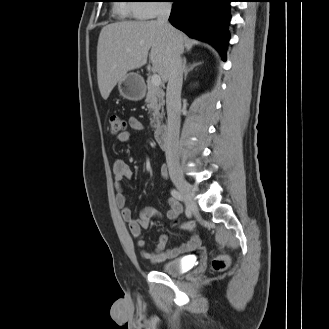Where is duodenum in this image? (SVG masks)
Returning <instances> with one entry per match:
<instances>
[{"label":"duodenum","instance_id":"duodenum-1","mask_svg":"<svg viewBox=\"0 0 329 329\" xmlns=\"http://www.w3.org/2000/svg\"><path fill=\"white\" fill-rule=\"evenodd\" d=\"M155 138L161 148L167 150L170 147L169 133L167 128L160 122L154 123Z\"/></svg>","mask_w":329,"mask_h":329}]
</instances>
